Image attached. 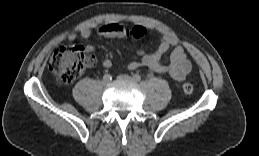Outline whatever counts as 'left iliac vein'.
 <instances>
[{
    "mask_svg": "<svg viewBox=\"0 0 259 156\" xmlns=\"http://www.w3.org/2000/svg\"><path fill=\"white\" fill-rule=\"evenodd\" d=\"M117 79H118V80L129 81V82H130V81H134L133 78H131L130 76L125 75V74L119 75V76L117 77Z\"/></svg>",
    "mask_w": 259,
    "mask_h": 156,
    "instance_id": "1",
    "label": "left iliac vein"
}]
</instances>
